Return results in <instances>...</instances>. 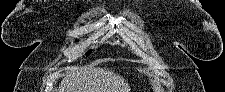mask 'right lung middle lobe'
Segmentation results:
<instances>
[{"mask_svg":"<svg viewBox=\"0 0 225 92\" xmlns=\"http://www.w3.org/2000/svg\"><path fill=\"white\" fill-rule=\"evenodd\" d=\"M91 53V51L87 52L86 55L88 56Z\"/></svg>","mask_w":225,"mask_h":92,"instance_id":"1","label":"right lung middle lobe"}]
</instances>
